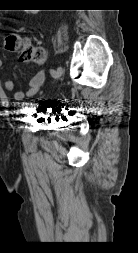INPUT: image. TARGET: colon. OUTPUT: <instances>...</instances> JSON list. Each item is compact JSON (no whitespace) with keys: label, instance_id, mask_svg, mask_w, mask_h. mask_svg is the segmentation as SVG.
<instances>
[{"label":"colon","instance_id":"5ec220e1","mask_svg":"<svg viewBox=\"0 0 138 253\" xmlns=\"http://www.w3.org/2000/svg\"><path fill=\"white\" fill-rule=\"evenodd\" d=\"M21 45L20 39L16 35H10L6 39V47L14 50ZM21 59L23 61H32L41 63L44 60V52L38 48H32L29 45L22 44Z\"/></svg>","mask_w":138,"mask_h":253}]
</instances>
